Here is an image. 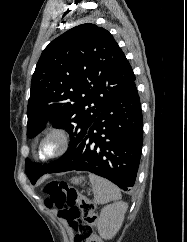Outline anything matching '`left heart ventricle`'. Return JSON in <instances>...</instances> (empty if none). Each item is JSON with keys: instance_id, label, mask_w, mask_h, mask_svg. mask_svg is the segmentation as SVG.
Masks as SVG:
<instances>
[{"instance_id": "left-heart-ventricle-1", "label": "left heart ventricle", "mask_w": 187, "mask_h": 242, "mask_svg": "<svg viewBox=\"0 0 187 242\" xmlns=\"http://www.w3.org/2000/svg\"><path fill=\"white\" fill-rule=\"evenodd\" d=\"M57 149H58V140L55 138L46 140L42 147V150L46 155L55 153Z\"/></svg>"}]
</instances>
